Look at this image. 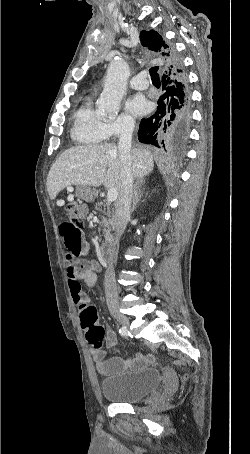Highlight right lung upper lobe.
<instances>
[{
    "mask_svg": "<svg viewBox=\"0 0 250 454\" xmlns=\"http://www.w3.org/2000/svg\"><path fill=\"white\" fill-rule=\"evenodd\" d=\"M141 44L151 50L156 58L161 60V70L165 73L172 71L170 55L168 53L169 44L163 39L160 34L154 30L141 31L140 34Z\"/></svg>",
    "mask_w": 250,
    "mask_h": 454,
    "instance_id": "right-lung-upper-lobe-1",
    "label": "right lung upper lobe"
}]
</instances>
